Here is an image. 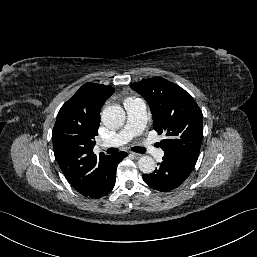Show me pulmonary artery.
<instances>
[{"mask_svg":"<svg viewBox=\"0 0 257 257\" xmlns=\"http://www.w3.org/2000/svg\"><path fill=\"white\" fill-rule=\"evenodd\" d=\"M127 113V122L124 128L112 139L102 143L104 147H115L129 142L133 137L142 133L146 125V105L143 100L133 98L124 103ZM145 149L156 159H160L164 152L155 147L150 140H145Z\"/></svg>","mask_w":257,"mask_h":257,"instance_id":"obj_1","label":"pulmonary artery"}]
</instances>
